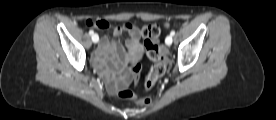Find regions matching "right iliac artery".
<instances>
[{"mask_svg": "<svg viewBox=\"0 0 276 120\" xmlns=\"http://www.w3.org/2000/svg\"><path fill=\"white\" fill-rule=\"evenodd\" d=\"M89 34L93 36V35H94V31H93V30H90V31H89ZM98 40H99V37H98L97 41H98Z\"/></svg>", "mask_w": 276, "mask_h": 120, "instance_id": "82829eb1", "label": "right iliac artery"}]
</instances>
